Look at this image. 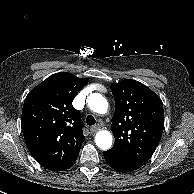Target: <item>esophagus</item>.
<instances>
[{"instance_id": "esophagus-1", "label": "esophagus", "mask_w": 194, "mask_h": 194, "mask_svg": "<svg viewBox=\"0 0 194 194\" xmlns=\"http://www.w3.org/2000/svg\"><path fill=\"white\" fill-rule=\"evenodd\" d=\"M99 129H100V126L97 124V125L92 126V127L90 128V131H91L92 133H95V132H97Z\"/></svg>"}]
</instances>
